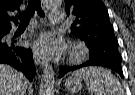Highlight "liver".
<instances>
[{
  "mask_svg": "<svg viewBox=\"0 0 135 95\" xmlns=\"http://www.w3.org/2000/svg\"><path fill=\"white\" fill-rule=\"evenodd\" d=\"M28 80L11 66L0 64V95H24Z\"/></svg>",
  "mask_w": 135,
  "mask_h": 95,
  "instance_id": "1",
  "label": "liver"
}]
</instances>
